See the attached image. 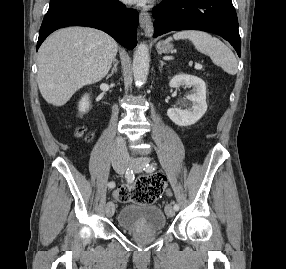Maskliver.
Masks as SVG:
<instances>
[{"mask_svg": "<svg viewBox=\"0 0 286 269\" xmlns=\"http://www.w3.org/2000/svg\"><path fill=\"white\" fill-rule=\"evenodd\" d=\"M117 51V42L97 29L68 27L56 31L38 51L37 83L43 98L63 106L78 89L108 74Z\"/></svg>", "mask_w": 286, "mask_h": 269, "instance_id": "liver-1", "label": "liver"}]
</instances>
